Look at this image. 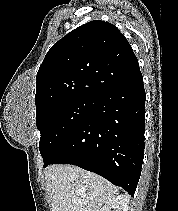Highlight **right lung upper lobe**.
I'll list each match as a JSON object with an SVG mask.
<instances>
[{"instance_id":"1","label":"right lung upper lobe","mask_w":178,"mask_h":211,"mask_svg":"<svg viewBox=\"0 0 178 211\" xmlns=\"http://www.w3.org/2000/svg\"><path fill=\"white\" fill-rule=\"evenodd\" d=\"M139 72L129 42L115 25L88 22L46 54L37 73L36 112L63 100L97 99Z\"/></svg>"}]
</instances>
